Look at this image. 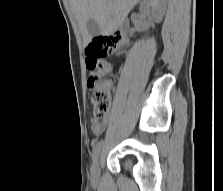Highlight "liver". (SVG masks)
I'll return each mask as SVG.
<instances>
[{"instance_id": "6515ba94", "label": "liver", "mask_w": 223, "mask_h": 191, "mask_svg": "<svg viewBox=\"0 0 223 191\" xmlns=\"http://www.w3.org/2000/svg\"><path fill=\"white\" fill-rule=\"evenodd\" d=\"M140 0H70L72 11L80 27L85 45L92 36L87 31V22L93 19L100 27L101 35H110L123 23Z\"/></svg>"}]
</instances>
